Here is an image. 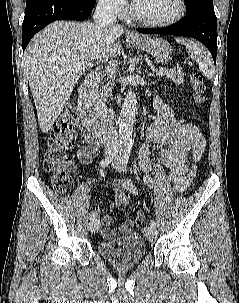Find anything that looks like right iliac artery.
Returning <instances> with one entry per match:
<instances>
[{
  "instance_id": "82829eb1",
  "label": "right iliac artery",
  "mask_w": 239,
  "mask_h": 303,
  "mask_svg": "<svg viewBox=\"0 0 239 303\" xmlns=\"http://www.w3.org/2000/svg\"><path fill=\"white\" fill-rule=\"evenodd\" d=\"M108 164H109L108 158L102 159L100 162V165L102 168H106L108 166ZM95 216H96L95 212H91L90 220H93L95 218Z\"/></svg>"
}]
</instances>
